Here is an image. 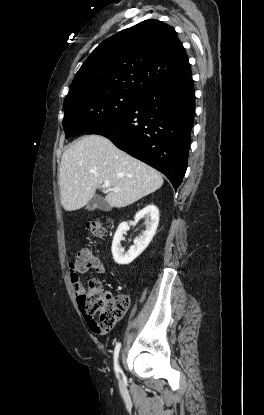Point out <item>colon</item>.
<instances>
[{"label":"colon","mask_w":264,"mask_h":415,"mask_svg":"<svg viewBox=\"0 0 264 415\" xmlns=\"http://www.w3.org/2000/svg\"><path fill=\"white\" fill-rule=\"evenodd\" d=\"M86 228L89 234L95 238L105 236V228L98 221L88 222ZM95 265L96 257L92 251L83 249L70 262V271L75 273L81 268L91 269ZM78 303L92 329H109L125 315L130 300L127 294H112L102 287L99 279H91L79 295ZM96 314L99 315L98 320L94 318Z\"/></svg>","instance_id":"5ec220e1"}]
</instances>
